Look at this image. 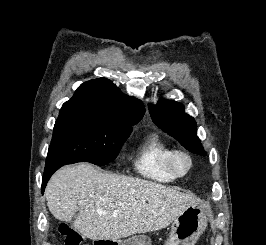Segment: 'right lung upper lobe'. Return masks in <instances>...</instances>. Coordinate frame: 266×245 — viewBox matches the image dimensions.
I'll return each instance as SVG.
<instances>
[{
  "mask_svg": "<svg viewBox=\"0 0 266 245\" xmlns=\"http://www.w3.org/2000/svg\"><path fill=\"white\" fill-rule=\"evenodd\" d=\"M145 112L141 101L123 95L110 80L98 78L83 83L63 104L60 115L95 114L116 122L136 124Z\"/></svg>",
  "mask_w": 266,
  "mask_h": 245,
  "instance_id": "obj_1",
  "label": "right lung upper lobe"
}]
</instances>
